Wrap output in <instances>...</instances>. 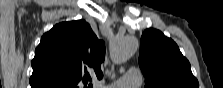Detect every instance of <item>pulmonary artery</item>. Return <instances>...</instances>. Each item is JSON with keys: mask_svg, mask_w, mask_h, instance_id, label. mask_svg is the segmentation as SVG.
<instances>
[{"mask_svg": "<svg viewBox=\"0 0 223 88\" xmlns=\"http://www.w3.org/2000/svg\"><path fill=\"white\" fill-rule=\"evenodd\" d=\"M141 83V72L136 68H131L121 78L104 88H133L139 87Z\"/></svg>", "mask_w": 223, "mask_h": 88, "instance_id": "e3ab8cb5", "label": "pulmonary artery"}]
</instances>
